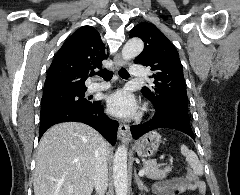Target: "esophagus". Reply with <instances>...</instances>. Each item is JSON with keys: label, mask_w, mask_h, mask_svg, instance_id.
<instances>
[{"label": "esophagus", "mask_w": 240, "mask_h": 195, "mask_svg": "<svg viewBox=\"0 0 240 195\" xmlns=\"http://www.w3.org/2000/svg\"><path fill=\"white\" fill-rule=\"evenodd\" d=\"M123 65H124V60L121 57V55L117 53V55H115L113 58V68L115 70H118ZM117 136L119 140H121V142L129 143V141L132 138L129 125H127L126 123H120Z\"/></svg>", "instance_id": "34e87169"}]
</instances>
